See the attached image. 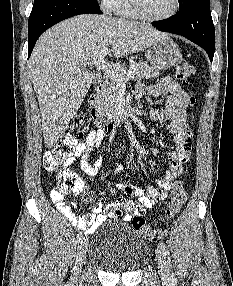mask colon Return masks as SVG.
Wrapping results in <instances>:
<instances>
[{
    "mask_svg": "<svg viewBox=\"0 0 233 286\" xmlns=\"http://www.w3.org/2000/svg\"><path fill=\"white\" fill-rule=\"evenodd\" d=\"M195 76V68L189 62L180 60L176 65V77L182 81L183 84L189 85ZM190 103H194V97H190ZM88 128V118L85 113L78 114L73 122L61 135L59 141L44 154L43 162L47 171L55 173L59 188L71 192H81L85 185L79 177L70 169L61 168L62 164L68 159L72 158L79 139L83 136ZM186 200V191L182 182L174 183L170 200L167 204L165 214L167 218L175 217L182 209ZM113 212L118 217H125L129 210L120 205L113 207ZM132 226L135 231L142 237L157 241L160 238V233L149 225L141 216V213L135 212L132 217Z\"/></svg>",
    "mask_w": 233,
    "mask_h": 286,
    "instance_id": "5ec220e1",
    "label": "colon"
}]
</instances>
